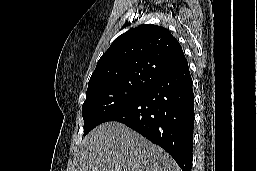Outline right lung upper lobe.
I'll list each match as a JSON object with an SVG mask.
<instances>
[{"label":"right lung upper lobe","instance_id":"cb5924a9","mask_svg":"<svg viewBox=\"0 0 257 171\" xmlns=\"http://www.w3.org/2000/svg\"><path fill=\"white\" fill-rule=\"evenodd\" d=\"M187 65L181 45L168 29L142 25L114 40L99 59L87 90L114 83L149 86Z\"/></svg>","mask_w":257,"mask_h":171}]
</instances>
